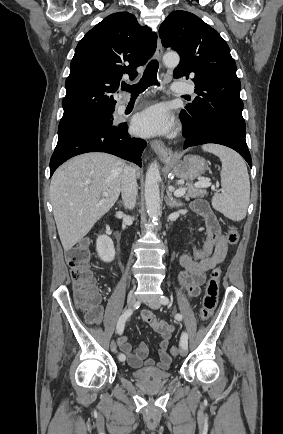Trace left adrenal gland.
Instances as JSON below:
<instances>
[{
    "label": "left adrenal gland",
    "instance_id": "left-adrenal-gland-1",
    "mask_svg": "<svg viewBox=\"0 0 283 434\" xmlns=\"http://www.w3.org/2000/svg\"><path fill=\"white\" fill-rule=\"evenodd\" d=\"M167 196L168 199L166 200V204L170 207V208H175V207H180L182 206L181 203H178L173 197L172 194L167 190Z\"/></svg>",
    "mask_w": 283,
    "mask_h": 434
}]
</instances>
